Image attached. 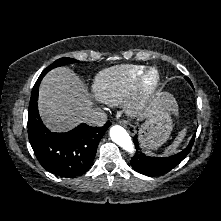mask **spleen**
<instances>
[{
    "label": "spleen",
    "mask_w": 221,
    "mask_h": 221,
    "mask_svg": "<svg viewBox=\"0 0 221 221\" xmlns=\"http://www.w3.org/2000/svg\"><path fill=\"white\" fill-rule=\"evenodd\" d=\"M186 134V129H183L178 136L175 138L173 143L167 147V149L164 151V155H169L171 153L176 152L177 148L179 147L180 143L183 141ZM148 154H152L150 151H147Z\"/></svg>",
    "instance_id": "3e777b00"
}]
</instances>
